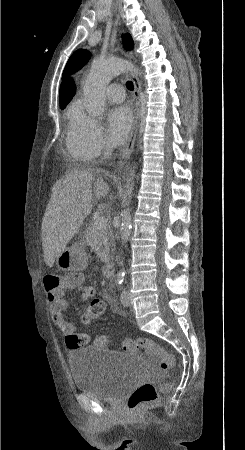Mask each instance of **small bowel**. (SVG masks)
Masks as SVG:
<instances>
[{
  "mask_svg": "<svg viewBox=\"0 0 245 450\" xmlns=\"http://www.w3.org/2000/svg\"><path fill=\"white\" fill-rule=\"evenodd\" d=\"M47 277L52 276H46V278ZM72 291L78 292L80 298L84 301L91 299L96 294V289L94 287L83 284H77L66 289L47 290L46 292L47 299L50 302V314L52 321L64 335H69L75 330V325L69 322L65 316L68 309V302L65 300L64 296ZM110 342L111 340L109 337L98 335L93 338L92 345L103 347L109 345Z\"/></svg>",
  "mask_w": 245,
  "mask_h": 450,
  "instance_id": "1",
  "label": "small bowel"
}]
</instances>
